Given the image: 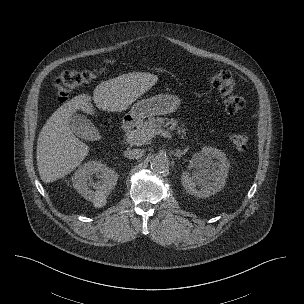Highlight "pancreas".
I'll return each instance as SVG.
<instances>
[{
    "label": "pancreas",
    "instance_id": "pancreas-1",
    "mask_svg": "<svg viewBox=\"0 0 304 304\" xmlns=\"http://www.w3.org/2000/svg\"><path fill=\"white\" fill-rule=\"evenodd\" d=\"M169 126L170 130H177L179 134H186V128L184 125L178 126V120L176 119H166L162 117H149L144 122H139L136 126V129L130 131L127 134V141L131 145L142 146L147 144L151 139L148 137L149 133L153 130H159L162 127Z\"/></svg>",
    "mask_w": 304,
    "mask_h": 304
}]
</instances>
